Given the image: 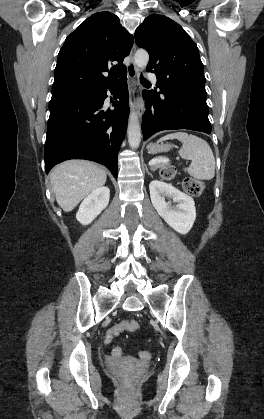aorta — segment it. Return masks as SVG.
Masks as SVG:
<instances>
[{
  "label": "aorta",
  "mask_w": 264,
  "mask_h": 419,
  "mask_svg": "<svg viewBox=\"0 0 264 419\" xmlns=\"http://www.w3.org/2000/svg\"><path fill=\"white\" fill-rule=\"evenodd\" d=\"M149 61V54L145 50H138L134 55V63L137 68H144ZM128 142L131 148L136 149L141 142V127L138 116L131 112L128 122Z\"/></svg>",
  "instance_id": "obj_1"
}]
</instances>
